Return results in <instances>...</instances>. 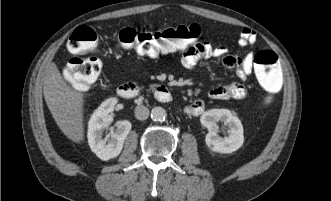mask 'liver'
Here are the masks:
<instances>
[{
    "label": "liver",
    "mask_w": 331,
    "mask_h": 201,
    "mask_svg": "<svg viewBox=\"0 0 331 201\" xmlns=\"http://www.w3.org/2000/svg\"><path fill=\"white\" fill-rule=\"evenodd\" d=\"M43 93L46 104L60 130L70 140H84L83 106L84 96L73 90L63 79L57 65L45 66Z\"/></svg>",
    "instance_id": "liver-1"
}]
</instances>
